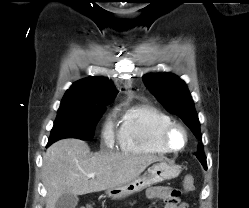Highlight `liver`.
Returning a JSON list of instances; mask_svg holds the SVG:
<instances>
[{
    "label": "liver",
    "instance_id": "obj_1",
    "mask_svg": "<svg viewBox=\"0 0 249 208\" xmlns=\"http://www.w3.org/2000/svg\"><path fill=\"white\" fill-rule=\"evenodd\" d=\"M162 160L146 154L105 151L92 154L84 141L73 138L59 140L43 156L46 208H55L57 200L65 193L84 195L129 183L149 165ZM91 173H95L94 178L87 177Z\"/></svg>",
    "mask_w": 249,
    "mask_h": 208
}]
</instances>
